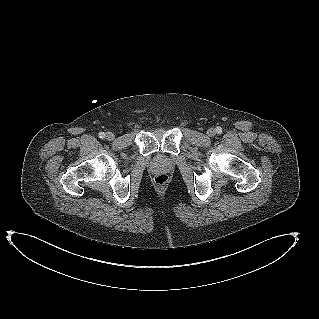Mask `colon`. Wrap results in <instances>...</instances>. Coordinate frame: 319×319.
Listing matches in <instances>:
<instances>
[{"label": "colon", "instance_id": "colon-1", "mask_svg": "<svg viewBox=\"0 0 319 319\" xmlns=\"http://www.w3.org/2000/svg\"><path fill=\"white\" fill-rule=\"evenodd\" d=\"M154 182L158 186H164L168 182V176L166 174H164V173L157 174L154 177Z\"/></svg>", "mask_w": 319, "mask_h": 319}]
</instances>
